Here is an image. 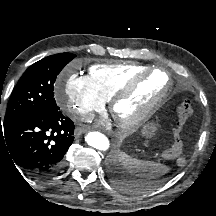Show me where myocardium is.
<instances>
[{"mask_svg":"<svg viewBox=\"0 0 216 216\" xmlns=\"http://www.w3.org/2000/svg\"><path fill=\"white\" fill-rule=\"evenodd\" d=\"M156 68L145 69L144 71L136 74L124 86L118 89L109 99V110L115 118L118 126L124 131H132L142 125L158 108V106L167 97L172 87V80L168 73L158 72ZM155 73H162L167 78L165 87L150 99L136 115L128 118L121 117L118 114V106L127 103L134 96L137 95L140 88L145 84Z\"/></svg>","mask_w":216,"mask_h":216,"instance_id":"obj_1","label":"myocardium"}]
</instances>
